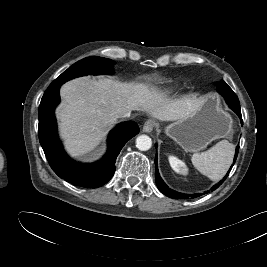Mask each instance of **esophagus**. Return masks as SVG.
<instances>
[{
	"mask_svg": "<svg viewBox=\"0 0 267 267\" xmlns=\"http://www.w3.org/2000/svg\"><path fill=\"white\" fill-rule=\"evenodd\" d=\"M155 126H156L155 121L149 119L143 125V132L150 133V132L153 131V129L155 128Z\"/></svg>",
	"mask_w": 267,
	"mask_h": 267,
	"instance_id": "1",
	"label": "esophagus"
}]
</instances>
